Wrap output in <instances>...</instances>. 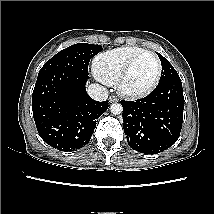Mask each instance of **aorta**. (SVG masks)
Returning <instances> with one entry per match:
<instances>
[{"mask_svg": "<svg viewBox=\"0 0 214 214\" xmlns=\"http://www.w3.org/2000/svg\"><path fill=\"white\" fill-rule=\"evenodd\" d=\"M110 110L113 114L115 115H118V114H121L122 111H123V107L121 104L119 103H113L111 106H110Z\"/></svg>", "mask_w": 214, "mask_h": 214, "instance_id": "aorta-1", "label": "aorta"}]
</instances>
